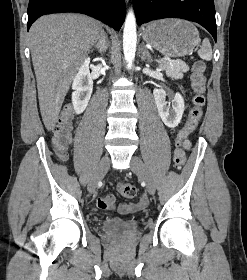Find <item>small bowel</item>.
<instances>
[{
	"label": "small bowel",
	"instance_id": "small-bowel-1",
	"mask_svg": "<svg viewBox=\"0 0 247 280\" xmlns=\"http://www.w3.org/2000/svg\"><path fill=\"white\" fill-rule=\"evenodd\" d=\"M186 147L189 146L187 142ZM98 206L102 209H116L119 213L127 214L144 209L148 205V199L145 195L141 196L136 203L115 205V199L112 195H105L98 199Z\"/></svg>",
	"mask_w": 247,
	"mask_h": 280
}]
</instances>
